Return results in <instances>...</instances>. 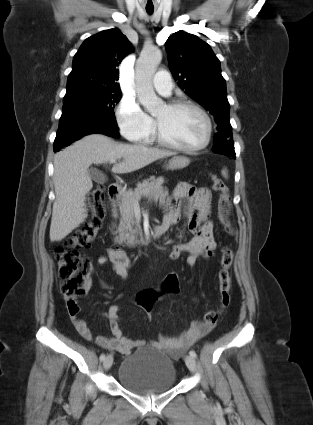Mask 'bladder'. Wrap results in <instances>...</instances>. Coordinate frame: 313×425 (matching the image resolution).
Wrapping results in <instances>:
<instances>
[{"label":"bladder","instance_id":"31cf9c89","mask_svg":"<svg viewBox=\"0 0 313 425\" xmlns=\"http://www.w3.org/2000/svg\"><path fill=\"white\" fill-rule=\"evenodd\" d=\"M117 378L131 393L159 394L174 387L176 368L165 351L145 347L123 359Z\"/></svg>","mask_w":313,"mask_h":425}]
</instances>
